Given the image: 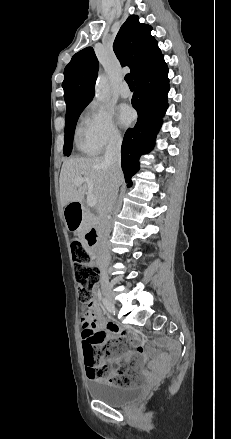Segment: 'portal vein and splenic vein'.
I'll return each instance as SVG.
<instances>
[{
    "label": "portal vein and splenic vein",
    "instance_id": "portal-vein-and-splenic-vein-1",
    "mask_svg": "<svg viewBox=\"0 0 231 439\" xmlns=\"http://www.w3.org/2000/svg\"><path fill=\"white\" fill-rule=\"evenodd\" d=\"M84 182L88 185L87 205L89 207H94L97 204V197L92 193L93 185L91 181L84 177H78L74 180V184L76 185H81Z\"/></svg>",
    "mask_w": 231,
    "mask_h": 439
}]
</instances>
